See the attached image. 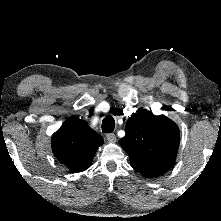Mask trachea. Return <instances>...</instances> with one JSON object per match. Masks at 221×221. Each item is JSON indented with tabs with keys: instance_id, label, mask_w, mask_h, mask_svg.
<instances>
[{
	"instance_id": "trachea-1",
	"label": "trachea",
	"mask_w": 221,
	"mask_h": 221,
	"mask_svg": "<svg viewBox=\"0 0 221 221\" xmlns=\"http://www.w3.org/2000/svg\"><path fill=\"white\" fill-rule=\"evenodd\" d=\"M115 128V120L112 116H106L102 121V132L112 133Z\"/></svg>"
}]
</instances>
